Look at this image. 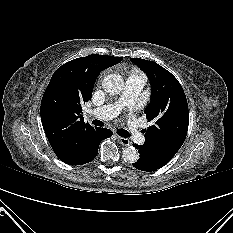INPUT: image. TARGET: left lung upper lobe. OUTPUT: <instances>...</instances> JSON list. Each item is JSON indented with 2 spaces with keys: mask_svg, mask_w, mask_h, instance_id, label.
Masks as SVG:
<instances>
[{
  "mask_svg": "<svg viewBox=\"0 0 233 233\" xmlns=\"http://www.w3.org/2000/svg\"><path fill=\"white\" fill-rule=\"evenodd\" d=\"M131 61L144 71L151 84V101L145 109L150 127L145 130L144 147L171 160L185 141L189 112L184 90L178 80L159 64L140 58Z\"/></svg>",
  "mask_w": 233,
  "mask_h": 233,
  "instance_id": "obj_1",
  "label": "left lung upper lobe"
}]
</instances>
